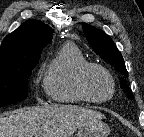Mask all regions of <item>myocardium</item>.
I'll return each mask as SVG.
<instances>
[{
	"mask_svg": "<svg viewBox=\"0 0 144 137\" xmlns=\"http://www.w3.org/2000/svg\"><path fill=\"white\" fill-rule=\"evenodd\" d=\"M91 70H98L102 72L108 78V80L111 83V88H112L109 96L104 97V98H95L89 93L87 86H86V78H87L88 73ZM76 88L80 96L85 101L100 104V103H105L114 97L116 93V82H115L113 75L106 67L98 63L88 62L85 65H83L78 71L77 78H76Z\"/></svg>",
	"mask_w": 144,
	"mask_h": 137,
	"instance_id": "myocardium-1",
	"label": "myocardium"
}]
</instances>
